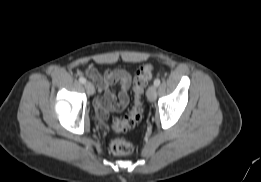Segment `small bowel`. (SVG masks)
<instances>
[{
	"mask_svg": "<svg viewBox=\"0 0 261 182\" xmlns=\"http://www.w3.org/2000/svg\"><path fill=\"white\" fill-rule=\"evenodd\" d=\"M86 74L94 81L100 96L94 100L97 114L106 118L110 113H119L129 104V90L131 77L123 69H108L103 73L95 67H88ZM118 86V93L112 91V87Z\"/></svg>",
	"mask_w": 261,
	"mask_h": 182,
	"instance_id": "obj_1",
	"label": "small bowel"
}]
</instances>
